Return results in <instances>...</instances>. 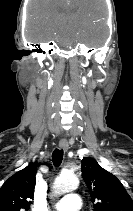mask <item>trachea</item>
<instances>
[{"instance_id":"obj_1","label":"trachea","mask_w":133,"mask_h":211,"mask_svg":"<svg viewBox=\"0 0 133 211\" xmlns=\"http://www.w3.org/2000/svg\"><path fill=\"white\" fill-rule=\"evenodd\" d=\"M63 158V150L62 149H55L52 154V161L55 167H58Z\"/></svg>"}]
</instances>
